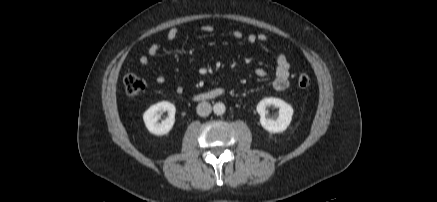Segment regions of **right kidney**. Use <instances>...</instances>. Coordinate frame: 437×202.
Instances as JSON below:
<instances>
[{
    "label": "right kidney",
    "mask_w": 437,
    "mask_h": 202,
    "mask_svg": "<svg viewBox=\"0 0 437 202\" xmlns=\"http://www.w3.org/2000/svg\"><path fill=\"white\" fill-rule=\"evenodd\" d=\"M168 112V117L161 123L158 122L162 112ZM175 106L168 102L162 101L152 105L143 114V120L148 131L154 135H165L170 132L175 122Z\"/></svg>",
    "instance_id": "1"
}]
</instances>
